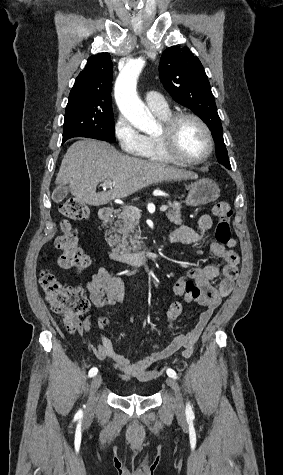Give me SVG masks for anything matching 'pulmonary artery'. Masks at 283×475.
<instances>
[{
	"label": "pulmonary artery",
	"mask_w": 283,
	"mask_h": 475,
	"mask_svg": "<svg viewBox=\"0 0 283 475\" xmlns=\"http://www.w3.org/2000/svg\"><path fill=\"white\" fill-rule=\"evenodd\" d=\"M115 90H136V89H115ZM144 100L147 106L149 107V109L152 111L166 110L168 108V104L166 100L159 93L148 91L144 95Z\"/></svg>",
	"instance_id": "obj_1"
}]
</instances>
